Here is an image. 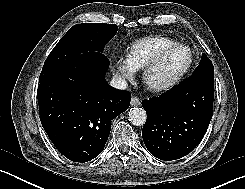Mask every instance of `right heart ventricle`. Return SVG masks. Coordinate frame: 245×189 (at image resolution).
Listing matches in <instances>:
<instances>
[{"mask_svg":"<svg viewBox=\"0 0 245 189\" xmlns=\"http://www.w3.org/2000/svg\"><path fill=\"white\" fill-rule=\"evenodd\" d=\"M176 43L173 39L155 35L138 39L132 42L127 48V58L135 69H142L149 63L163 48Z\"/></svg>","mask_w":245,"mask_h":189,"instance_id":"obj_1","label":"right heart ventricle"}]
</instances>
